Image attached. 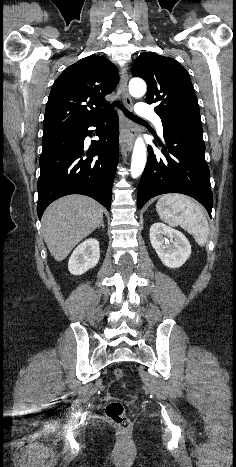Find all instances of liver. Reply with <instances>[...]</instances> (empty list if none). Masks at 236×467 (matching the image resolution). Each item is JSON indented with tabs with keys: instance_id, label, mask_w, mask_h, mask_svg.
<instances>
[{
	"instance_id": "6515ba94",
	"label": "liver",
	"mask_w": 236,
	"mask_h": 467,
	"mask_svg": "<svg viewBox=\"0 0 236 467\" xmlns=\"http://www.w3.org/2000/svg\"><path fill=\"white\" fill-rule=\"evenodd\" d=\"M103 221V207L83 195H69L53 202L42 217V232L50 254L63 261L72 249Z\"/></svg>"
}]
</instances>
